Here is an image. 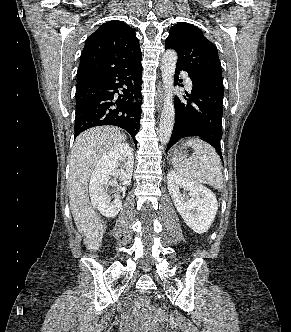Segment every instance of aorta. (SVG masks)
<instances>
[{
	"label": "aorta",
	"instance_id": "762f6f07",
	"mask_svg": "<svg viewBox=\"0 0 291 332\" xmlns=\"http://www.w3.org/2000/svg\"><path fill=\"white\" fill-rule=\"evenodd\" d=\"M177 59V53L170 49L164 52L161 59V74L165 88V98L158 132L159 140L162 144L169 142L174 126L175 107L173 85Z\"/></svg>",
	"mask_w": 291,
	"mask_h": 332
}]
</instances>
